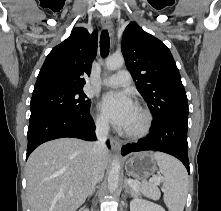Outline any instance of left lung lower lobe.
Instances as JSON below:
<instances>
[{
    "instance_id": "1",
    "label": "left lung lower lobe",
    "mask_w": 221,
    "mask_h": 211,
    "mask_svg": "<svg viewBox=\"0 0 221 211\" xmlns=\"http://www.w3.org/2000/svg\"><path fill=\"white\" fill-rule=\"evenodd\" d=\"M188 115H170L152 123L150 134L137 143L123 146V155L130 152L154 150L178 158L190 172L187 143Z\"/></svg>"
}]
</instances>
